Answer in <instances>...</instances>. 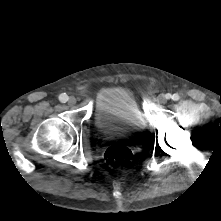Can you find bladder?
<instances>
[{
    "instance_id": "31cf9c89",
    "label": "bladder",
    "mask_w": 221,
    "mask_h": 221,
    "mask_svg": "<svg viewBox=\"0 0 221 221\" xmlns=\"http://www.w3.org/2000/svg\"><path fill=\"white\" fill-rule=\"evenodd\" d=\"M94 124L103 135H133L147 126L133 95L119 87L108 88L98 96Z\"/></svg>"
}]
</instances>
